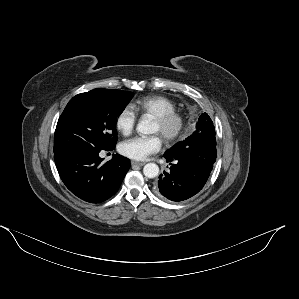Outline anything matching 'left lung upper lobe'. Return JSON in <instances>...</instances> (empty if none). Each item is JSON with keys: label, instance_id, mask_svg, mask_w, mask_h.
<instances>
[{"label": "left lung upper lobe", "instance_id": "left-lung-upper-lobe-1", "mask_svg": "<svg viewBox=\"0 0 299 299\" xmlns=\"http://www.w3.org/2000/svg\"><path fill=\"white\" fill-rule=\"evenodd\" d=\"M204 141V142H203ZM204 145L210 150V156L216 160L215 128L207 113H203L196 124L195 132L183 141L178 142L164 156H172L185 148Z\"/></svg>", "mask_w": 299, "mask_h": 299}]
</instances>
